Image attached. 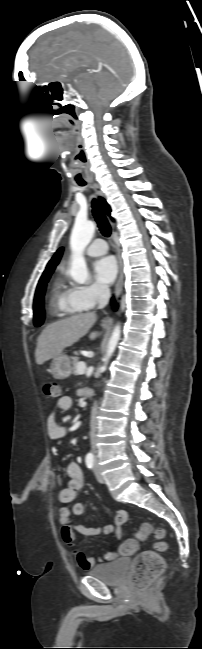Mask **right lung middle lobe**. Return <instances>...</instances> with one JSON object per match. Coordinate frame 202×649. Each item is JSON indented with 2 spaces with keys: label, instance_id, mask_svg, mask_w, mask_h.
I'll use <instances>...</instances> for the list:
<instances>
[{
  "label": "right lung middle lobe",
  "instance_id": "dd1d6c3e",
  "mask_svg": "<svg viewBox=\"0 0 202 649\" xmlns=\"http://www.w3.org/2000/svg\"><path fill=\"white\" fill-rule=\"evenodd\" d=\"M52 273L53 272L51 271L42 275L36 288L34 303H33V311H34L33 320H34V325L37 327L41 326L45 319L44 294L46 290V284L49 281Z\"/></svg>",
  "mask_w": 202,
  "mask_h": 649
}]
</instances>
